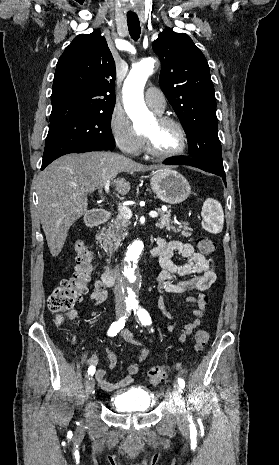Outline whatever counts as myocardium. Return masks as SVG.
<instances>
[{
	"label": "myocardium",
	"mask_w": 279,
	"mask_h": 465,
	"mask_svg": "<svg viewBox=\"0 0 279 465\" xmlns=\"http://www.w3.org/2000/svg\"><path fill=\"white\" fill-rule=\"evenodd\" d=\"M156 121L160 125H165V124L174 125L178 129L179 134H180V145L175 151L168 152V153H162V152L157 151L154 148L151 138L148 135L143 134V142H144V147H145L146 152L150 156L157 158V159H171V158H175V157L182 155L185 152L187 148V144H188L187 132L183 124L179 120L173 117H170V116H159L156 119Z\"/></svg>",
	"instance_id": "myocardium-1"
}]
</instances>
